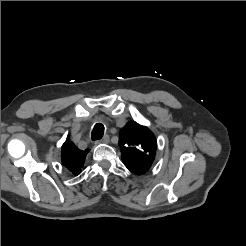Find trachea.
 <instances>
[{
	"instance_id": "obj_1",
	"label": "trachea",
	"mask_w": 246,
	"mask_h": 246,
	"mask_svg": "<svg viewBox=\"0 0 246 246\" xmlns=\"http://www.w3.org/2000/svg\"><path fill=\"white\" fill-rule=\"evenodd\" d=\"M104 134V126L101 123L95 124L92 133H91V139L93 141L99 140L103 137Z\"/></svg>"
}]
</instances>
